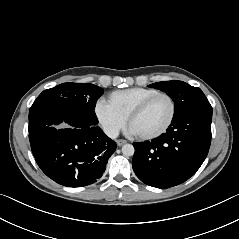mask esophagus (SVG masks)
Instances as JSON below:
<instances>
[{"label": "esophagus", "mask_w": 239, "mask_h": 239, "mask_svg": "<svg viewBox=\"0 0 239 239\" xmlns=\"http://www.w3.org/2000/svg\"><path fill=\"white\" fill-rule=\"evenodd\" d=\"M116 142H117V145H118V146H122V145H124V144L127 143V141L124 140V139H119V140H117Z\"/></svg>", "instance_id": "34e87169"}]
</instances>
